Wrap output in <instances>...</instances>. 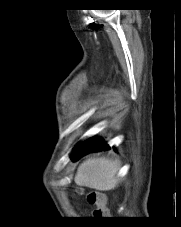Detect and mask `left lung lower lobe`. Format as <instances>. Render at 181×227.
Masks as SVG:
<instances>
[{"label": "left lung lower lobe", "instance_id": "obj_1", "mask_svg": "<svg viewBox=\"0 0 181 227\" xmlns=\"http://www.w3.org/2000/svg\"><path fill=\"white\" fill-rule=\"evenodd\" d=\"M109 149V145L106 142L99 139H88L81 143L75 150L72 158L77 160L84 156L87 153L94 152V151H102Z\"/></svg>", "mask_w": 181, "mask_h": 227}]
</instances>
